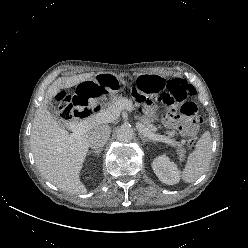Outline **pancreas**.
Masks as SVG:
<instances>
[{
  "mask_svg": "<svg viewBox=\"0 0 248 248\" xmlns=\"http://www.w3.org/2000/svg\"><path fill=\"white\" fill-rule=\"evenodd\" d=\"M125 102H127L128 104H130L132 106V100L131 99H127V98H124L121 96H114V98L110 102L107 103V106L110 107L111 105H113L115 103H125ZM139 120H140V123H142L146 128H148L149 130L154 132L150 118L141 117V118H139ZM167 134H168V136H166V137L169 138L171 141V143H169V144L171 146L177 148V154L179 155L180 159L183 160L184 154H185V150L183 148V142H177L175 139H172L171 137H173V135H174L173 132H168Z\"/></svg>",
  "mask_w": 248,
  "mask_h": 248,
  "instance_id": "1",
  "label": "pancreas"
}]
</instances>
